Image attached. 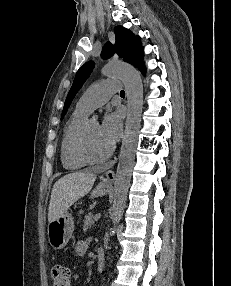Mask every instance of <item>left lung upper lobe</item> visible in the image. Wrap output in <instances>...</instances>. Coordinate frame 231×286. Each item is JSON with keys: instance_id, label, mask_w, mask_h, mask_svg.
<instances>
[{"instance_id": "obj_1", "label": "left lung upper lobe", "mask_w": 231, "mask_h": 286, "mask_svg": "<svg viewBox=\"0 0 231 286\" xmlns=\"http://www.w3.org/2000/svg\"><path fill=\"white\" fill-rule=\"evenodd\" d=\"M114 31L116 43L113 46L110 42H107L102 50L101 57L106 59L111 57L114 52H117L120 58H122L125 62L132 64L134 67L140 69L142 66H144L143 48L141 47L140 38L138 36H134L131 31L123 28L122 26H116ZM93 68L94 62L90 61L85 63L78 70L73 85L65 101L61 119H63L65 116L71 101L86 79L89 77Z\"/></svg>"}]
</instances>
